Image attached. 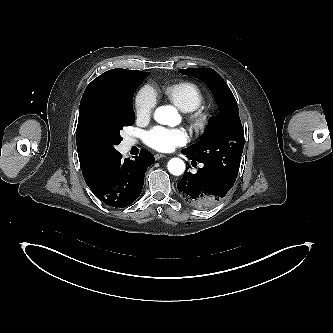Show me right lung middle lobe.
Listing matches in <instances>:
<instances>
[{
  "label": "right lung middle lobe",
  "mask_w": 333,
  "mask_h": 333,
  "mask_svg": "<svg viewBox=\"0 0 333 333\" xmlns=\"http://www.w3.org/2000/svg\"><path fill=\"white\" fill-rule=\"evenodd\" d=\"M149 75L150 72L140 71L127 85L108 93L100 101L90 126L89 142L101 157L114 158L118 154L114 147L122 140L120 131L135 121L133 95Z\"/></svg>",
  "instance_id": "1"
}]
</instances>
